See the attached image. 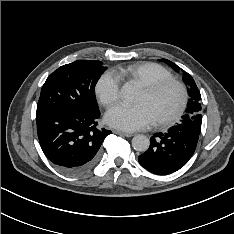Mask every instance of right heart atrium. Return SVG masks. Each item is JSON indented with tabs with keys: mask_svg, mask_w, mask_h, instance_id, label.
<instances>
[{
	"mask_svg": "<svg viewBox=\"0 0 234 234\" xmlns=\"http://www.w3.org/2000/svg\"><path fill=\"white\" fill-rule=\"evenodd\" d=\"M95 93L103 105H112L120 96V79L112 71L104 72L95 84Z\"/></svg>",
	"mask_w": 234,
	"mask_h": 234,
	"instance_id": "d8ad5b80",
	"label": "right heart atrium"
}]
</instances>
